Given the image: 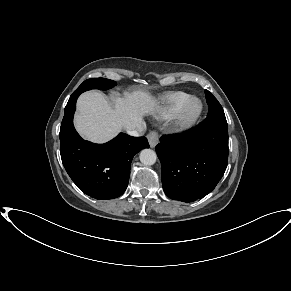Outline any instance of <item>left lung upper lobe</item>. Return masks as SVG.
Instances as JSON below:
<instances>
[{"label":"left lung upper lobe","mask_w":291,"mask_h":291,"mask_svg":"<svg viewBox=\"0 0 291 291\" xmlns=\"http://www.w3.org/2000/svg\"><path fill=\"white\" fill-rule=\"evenodd\" d=\"M207 104L209 106L207 117H225L224 111L217 99L212 95L211 92L205 90Z\"/></svg>","instance_id":"obj_1"}]
</instances>
